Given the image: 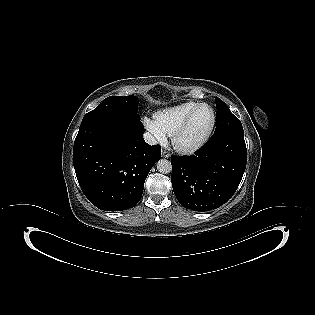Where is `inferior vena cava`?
<instances>
[{"label": "inferior vena cava", "instance_id": "obj_1", "mask_svg": "<svg viewBox=\"0 0 315 315\" xmlns=\"http://www.w3.org/2000/svg\"><path fill=\"white\" fill-rule=\"evenodd\" d=\"M144 139L149 145L157 144V140L155 139V137L148 132L144 133Z\"/></svg>", "mask_w": 315, "mask_h": 315}]
</instances>
